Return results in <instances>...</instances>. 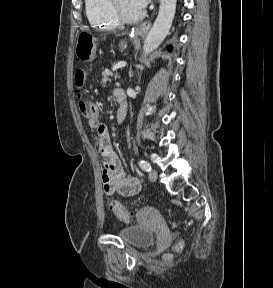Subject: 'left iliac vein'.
<instances>
[{"instance_id":"obj_1","label":"left iliac vein","mask_w":273,"mask_h":288,"mask_svg":"<svg viewBox=\"0 0 273 288\" xmlns=\"http://www.w3.org/2000/svg\"><path fill=\"white\" fill-rule=\"evenodd\" d=\"M148 178L151 182H155L157 179V172L155 170H150L148 172Z\"/></svg>"}]
</instances>
